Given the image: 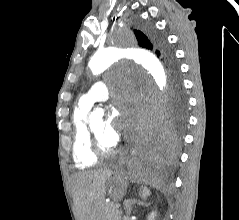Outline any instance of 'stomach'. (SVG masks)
I'll return each instance as SVG.
<instances>
[{
    "label": "stomach",
    "mask_w": 239,
    "mask_h": 220,
    "mask_svg": "<svg viewBox=\"0 0 239 220\" xmlns=\"http://www.w3.org/2000/svg\"><path fill=\"white\" fill-rule=\"evenodd\" d=\"M111 184H112V186H125V189L127 187V183H111ZM120 192H123V191H120Z\"/></svg>",
    "instance_id": "0dacf381"
}]
</instances>
